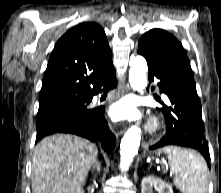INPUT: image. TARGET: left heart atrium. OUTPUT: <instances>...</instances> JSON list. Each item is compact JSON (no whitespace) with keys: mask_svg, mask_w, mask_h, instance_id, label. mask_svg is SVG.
<instances>
[{"mask_svg":"<svg viewBox=\"0 0 221 193\" xmlns=\"http://www.w3.org/2000/svg\"><path fill=\"white\" fill-rule=\"evenodd\" d=\"M109 115L115 121H133L141 117V113L133 99L124 98L112 104Z\"/></svg>","mask_w":221,"mask_h":193,"instance_id":"39dd6f15","label":"left heart atrium"}]
</instances>
